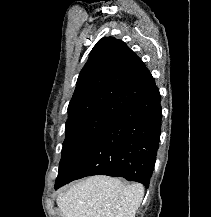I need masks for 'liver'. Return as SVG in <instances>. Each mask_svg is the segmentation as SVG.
I'll return each mask as SVG.
<instances>
[{
  "instance_id": "obj_1",
  "label": "liver",
  "mask_w": 211,
  "mask_h": 217,
  "mask_svg": "<svg viewBox=\"0 0 211 217\" xmlns=\"http://www.w3.org/2000/svg\"><path fill=\"white\" fill-rule=\"evenodd\" d=\"M144 196L142 184L92 176L59 193L62 217H135Z\"/></svg>"
}]
</instances>
